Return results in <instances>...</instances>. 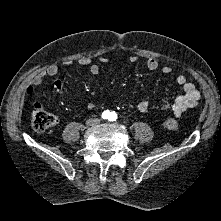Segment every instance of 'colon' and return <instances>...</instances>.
<instances>
[{
  "instance_id": "5ec220e1",
  "label": "colon",
  "mask_w": 221,
  "mask_h": 221,
  "mask_svg": "<svg viewBox=\"0 0 221 221\" xmlns=\"http://www.w3.org/2000/svg\"><path fill=\"white\" fill-rule=\"evenodd\" d=\"M55 115L45 112L40 106H37L32 115V126L34 130L43 132L56 124ZM164 129L175 131L179 128V121L175 117L167 118L163 123Z\"/></svg>"
}]
</instances>
